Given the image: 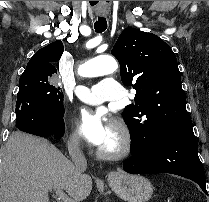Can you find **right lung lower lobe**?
<instances>
[{
  "mask_svg": "<svg viewBox=\"0 0 209 202\" xmlns=\"http://www.w3.org/2000/svg\"><path fill=\"white\" fill-rule=\"evenodd\" d=\"M16 116V126L21 131L41 137L54 135L55 139L64 134L63 116H52L32 108L25 109Z\"/></svg>",
  "mask_w": 209,
  "mask_h": 202,
  "instance_id": "right-lung-lower-lobe-1",
  "label": "right lung lower lobe"
}]
</instances>
